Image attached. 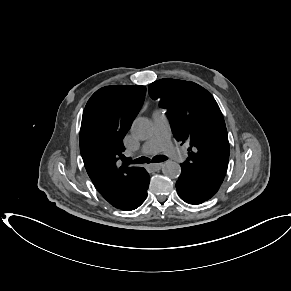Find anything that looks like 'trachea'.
<instances>
[{
  "label": "trachea",
  "mask_w": 291,
  "mask_h": 291,
  "mask_svg": "<svg viewBox=\"0 0 291 291\" xmlns=\"http://www.w3.org/2000/svg\"><path fill=\"white\" fill-rule=\"evenodd\" d=\"M165 160H167V157H165L164 155H156L155 157H153L152 162L158 163V162H163ZM149 162H150V159L147 157H139L133 161V163L135 164H143V163H149Z\"/></svg>",
  "instance_id": "1"
}]
</instances>
